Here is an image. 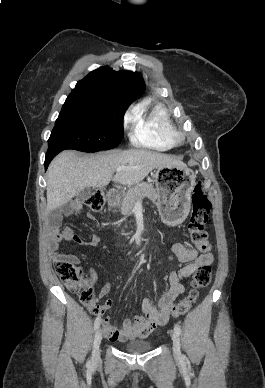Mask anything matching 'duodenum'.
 Returning a JSON list of instances; mask_svg holds the SVG:
<instances>
[{
	"label": "duodenum",
	"instance_id": "duodenum-1",
	"mask_svg": "<svg viewBox=\"0 0 265 388\" xmlns=\"http://www.w3.org/2000/svg\"><path fill=\"white\" fill-rule=\"evenodd\" d=\"M121 199V193L116 189H111L108 193V204L110 206H116Z\"/></svg>",
	"mask_w": 265,
	"mask_h": 388
}]
</instances>
